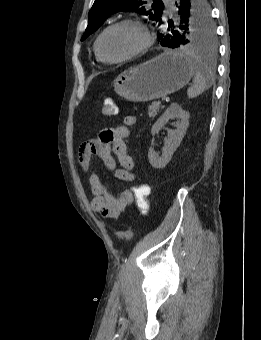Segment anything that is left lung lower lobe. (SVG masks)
Returning <instances> with one entry per match:
<instances>
[{"mask_svg": "<svg viewBox=\"0 0 261 340\" xmlns=\"http://www.w3.org/2000/svg\"><path fill=\"white\" fill-rule=\"evenodd\" d=\"M175 4L178 8V14L180 15V19H181L182 16L187 14L191 6V0H178ZM174 21L176 20L171 19L168 22H174ZM161 42H162L161 43L162 46L169 47V48H178V44H179L178 39L173 35L166 36Z\"/></svg>", "mask_w": 261, "mask_h": 340, "instance_id": "0a47b994", "label": "left lung lower lobe"}]
</instances>
